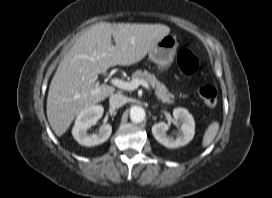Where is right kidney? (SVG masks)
Masks as SVG:
<instances>
[{"instance_id": "1", "label": "right kidney", "mask_w": 272, "mask_h": 198, "mask_svg": "<svg viewBox=\"0 0 272 198\" xmlns=\"http://www.w3.org/2000/svg\"><path fill=\"white\" fill-rule=\"evenodd\" d=\"M104 108L101 105H93L82 110L76 120L72 130L75 140L87 147L99 145L107 141L112 133V127L110 124H104L98 133L89 135L87 130L95 125L102 117Z\"/></svg>"}]
</instances>
